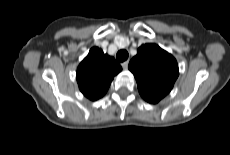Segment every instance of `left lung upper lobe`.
Listing matches in <instances>:
<instances>
[{
    "label": "left lung upper lobe",
    "mask_w": 230,
    "mask_h": 155,
    "mask_svg": "<svg viewBox=\"0 0 230 155\" xmlns=\"http://www.w3.org/2000/svg\"><path fill=\"white\" fill-rule=\"evenodd\" d=\"M144 100L156 104L171 89L179 75L176 59L156 44L142 45L129 65Z\"/></svg>",
    "instance_id": "left-lung-upper-lobe-1"
}]
</instances>
